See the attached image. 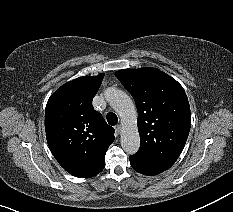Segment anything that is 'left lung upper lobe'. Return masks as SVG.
Returning <instances> with one entry per match:
<instances>
[{
	"mask_svg": "<svg viewBox=\"0 0 233 212\" xmlns=\"http://www.w3.org/2000/svg\"><path fill=\"white\" fill-rule=\"evenodd\" d=\"M115 76L136 103L141 140L137 153L172 166L185 146L191 125L183 87L152 67L123 69Z\"/></svg>",
	"mask_w": 233,
	"mask_h": 212,
	"instance_id": "5c2ea615",
	"label": "left lung upper lobe"
}]
</instances>
